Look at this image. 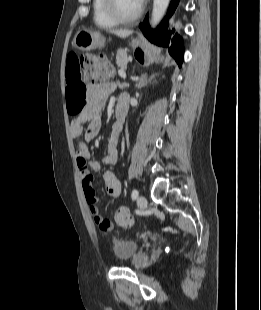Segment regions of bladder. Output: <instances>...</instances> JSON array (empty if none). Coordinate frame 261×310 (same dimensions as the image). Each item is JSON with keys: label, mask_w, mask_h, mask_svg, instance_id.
Returning <instances> with one entry per match:
<instances>
[{"label": "bladder", "mask_w": 261, "mask_h": 310, "mask_svg": "<svg viewBox=\"0 0 261 310\" xmlns=\"http://www.w3.org/2000/svg\"><path fill=\"white\" fill-rule=\"evenodd\" d=\"M111 243L114 258L119 262L130 260L139 249V244L136 241L119 236L113 237Z\"/></svg>", "instance_id": "1"}]
</instances>
